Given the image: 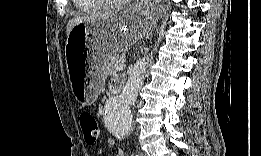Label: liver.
Wrapping results in <instances>:
<instances>
[{
    "label": "liver",
    "mask_w": 261,
    "mask_h": 156,
    "mask_svg": "<svg viewBox=\"0 0 261 156\" xmlns=\"http://www.w3.org/2000/svg\"><path fill=\"white\" fill-rule=\"evenodd\" d=\"M116 17H117L116 13H113V12H101V13H93V14H87V15H82V16H76L68 22L66 34L68 36L69 33L71 32V30L75 26L80 25L82 23H94V22L113 19Z\"/></svg>",
    "instance_id": "obj_1"
}]
</instances>
